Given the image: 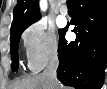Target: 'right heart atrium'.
Here are the masks:
<instances>
[{
  "mask_svg": "<svg viewBox=\"0 0 107 89\" xmlns=\"http://www.w3.org/2000/svg\"><path fill=\"white\" fill-rule=\"evenodd\" d=\"M27 65L33 72L40 71L58 54V39L53 27L44 21L28 26L22 34Z\"/></svg>",
  "mask_w": 107,
  "mask_h": 89,
  "instance_id": "1",
  "label": "right heart atrium"
}]
</instances>
